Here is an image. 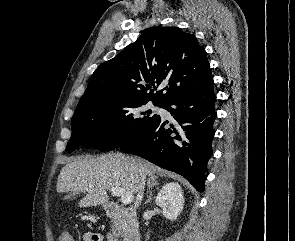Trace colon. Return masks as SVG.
I'll return each instance as SVG.
<instances>
[{"label":"colon","mask_w":295,"mask_h":241,"mask_svg":"<svg viewBox=\"0 0 295 241\" xmlns=\"http://www.w3.org/2000/svg\"><path fill=\"white\" fill-rule=\"evenodd\" d=\"M59 241H74V238L70 232L63 231L60 234Z\"/></svg>","instance_id":"5ec220e1"}]
</instances>
